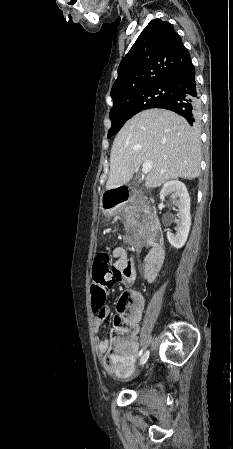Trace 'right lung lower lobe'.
Here are the masks:
<instances>
[{"instance_id":"98d812e1","label":"right lung lower lobe","mask_w":233,"mask_h":449,"mask_svg":"<svg viewBox=\"0 0 233 449\" xmlns=\"http://www.w3.org/2000/svg\"><path fill=\"white\" fill-rule=\"evenodd\" d=\"M170 95L155 108H163L182 115L192 126L199 124L200 99L195 81V72L173 81Z\"/></svg>"}]
</instances>
